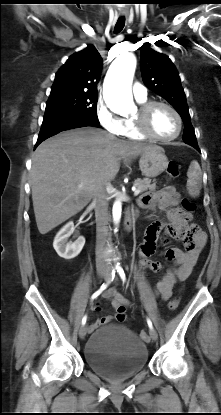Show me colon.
Wrapping results in <instances>:
<instances>
[{
	"mask_svg": "<svg viewBox=\"0 0 221 415\" xmlns=\"http://www.w3.org/2000/svg\"><path fill=\"white\" fill-rule=\"evenodd\" d=\"M166 173L170 179H176L179 176V166L177 163L171 161L168 163L166 168ZM181 207H187L190 212H194L196 205L187 199L185 196L181 197ZM180 297L176 296L168 303V309L173 311L175 310L179 305ZM140 336L142 339L146 340L148 338V334L146 331H141Z\"/></svg>",
	"mask_w": 221,
	"mask_h": 415,
	"instance_id": "colon-1",
	"label": "colon"
}]
</instances>
